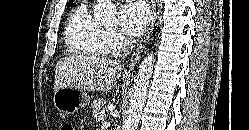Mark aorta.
<instances>
[{
    "label": "aorta",
    "mask_w": 249,
    "mask_h": 130,
    "mask_svg": "<svg viewBox=\"0 0 249 130\" xmlns=\"http://www.w3.org/2000/svg\"><path fill=\"white\" fill-rule=\"evenodd\" d=\"M94 17L96 20L104 23L115 22V4L111 0H99L94 7ZM153 62L154 57L152 52L148 53L141 61L135 79L128 115L123 122L122 130H136L139 125L153 71Z\"/></svg>",
    "instance_id": "762f6f07"
}]
</instances>
